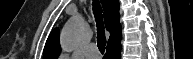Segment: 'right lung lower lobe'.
<instances>
[{
    "mask_svg": "<svg viewBox=\"0 0 193 59\" xmlns=\"http://www.w3.org/2000/svg\"><path fill=\"white\" fill-rule=\"evenodd\" d=\"M121 38L107 44V52L105 55V59H120V50H121V44H120Z\"/></svg>",
    "mask_w": 193,
    "mask_h": 59,
    "instance_id": "1",
    "label": "right lung lower lobe"
}]
</instances>
